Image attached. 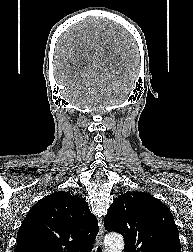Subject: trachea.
I'll list each match as a JSON object with an SVG mask.
<instances>
[{
	"label": "trachea",
	"mask_w": 193,
	"mask_h": 252,
	"mask_svg": "<svg viewBox=\"0 0 193 252\" xmlns=\"http://www.w3.org/2000/svg\"><path fill=\"white\" fill-rule=\"evenodd\" d=\"M97 252H102L101 249H100V247H98Z\"/></svg>",
	"instance_id": "1"
}]
</instances>
